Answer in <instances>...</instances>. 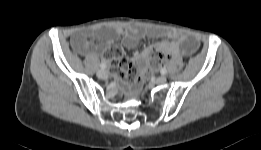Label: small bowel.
Listing matches in <instances>:
<instances>
[{"instance_id": "obj_1", "label": "small bowel", "mask_w": 261, "mask_h": 150, "mask_svg": "<svg viewBox=\"0 0 261 150\" xmlns=\"http://www.w3.org/2000/svg\"><path fill=\"white\" fill-rule=\"evenodd\" d=\"M121 35H123V45L128 49L135 48L144 37L167 38L169 41L163 44V48L173 57H176L179 54H190L198 47V43L195 39L186 37L173 30L156 26H131L127 30H124L121 27H115L111 30L101 31L97 34L99 38L97 45H94L91 41L90 38L92 33L88 30L75 32L72 35L71 40L83 53L92 54L94 52H99L110 59L113 62V67L118 77L124 78L128 74L132 78L137 79L141 75L139 69L142 68L145 62L148 50L135 55L133 61L130 62L122 56L121 51H109L112 40Z\"/></svg>"}]
</instances>
